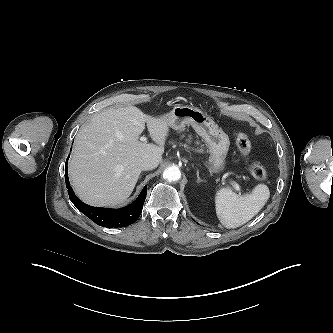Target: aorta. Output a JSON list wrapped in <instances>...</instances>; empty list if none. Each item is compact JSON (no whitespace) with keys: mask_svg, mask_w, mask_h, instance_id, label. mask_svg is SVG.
<instances>
[{"mask_svg":"<svg viewBox=\"0 0 333 333\" xmlns=\"http://www.w3.org/2000/svg\"><path fill=\"white\" fill-rule=\"evenodd\" d=\"M163 178L167 181H177L181 178L180 169L177 166H171L164 170Z\"/></svg>","mask_w":333,"mask_h":333,"instance_id":"762f6f07","label":"aorta"}]
</instances>
